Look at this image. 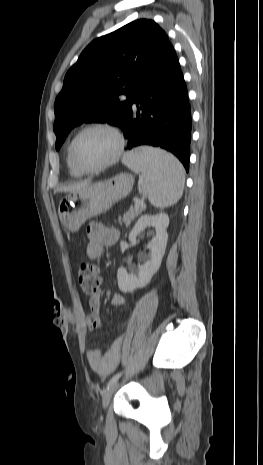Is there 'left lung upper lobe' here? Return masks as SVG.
I'll return each mask as SVG.
<instances>
[{
  "label": "left lung upper lobe",
  "mask_w": 263,
  "mask_h": 465,
  "mask_svg": "<svg viewBox=\"0 0 263 465\" xmlns=\"http://www.w3.org/2000/svg\"><path fill=\"white\" fill-rule=\"evenodd\" d=\"M167 43L166 33L150 19L135 20L91 42L68 70L55 100L56 150L83 122L120 127L134 85ZM123 94L126 100L120 99Z\"/></svg>",
  "instance_id": "5c2ea615"
}]
</instances>
